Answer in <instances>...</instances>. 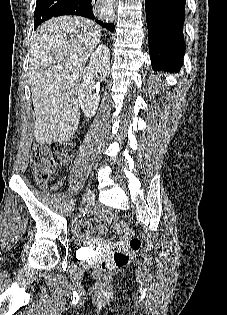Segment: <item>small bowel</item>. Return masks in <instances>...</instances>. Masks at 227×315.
Wrapping results in <instances>:
<instances>
[{
    "label": "small bowel",
    "mask_w": 227,
    "mask_h": 315,
    "mask_svg": "<svg viewBox=\"0 0 227 315\" xmlns=\"http://www.w3.org/2000/svg\"><path fill=\"white\" fill-rule=\"evenodd\" d=\"M88 224H90L89 222H88ZM96 229L99 231V232H104V230H105V226H104V224L102 223V222H100V223H98V224H96Z\"/></svg>",
    "instance_id": "obj_1"
}]
</instances>
